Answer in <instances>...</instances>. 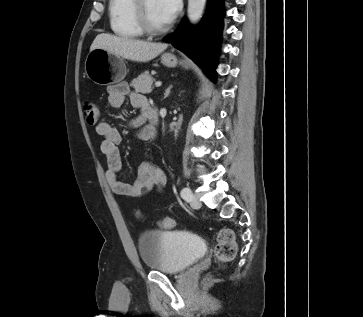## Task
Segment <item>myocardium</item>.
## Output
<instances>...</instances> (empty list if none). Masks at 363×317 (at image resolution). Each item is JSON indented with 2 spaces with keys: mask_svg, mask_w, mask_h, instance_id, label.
I'll return each mask as SVG.
<instances>
[{
  "mask_svg": "<svg viewBox=\"0 0 363 317\" xmlns=\"http://www.w3.org/2000/svg\"><path fill=\"white\" fill-rule=\"evenodd\" d=\"M145 4L146 0H134L133 15L137 26L147 35L155 36L165 33L169 29V25L154 27L148 20Z\"/></svg>",
  "mask_w": 363,
  "mask_h": 317,
  "instance_id": "f54148a6",
  "label": "myocardium"
}]
</instances>
